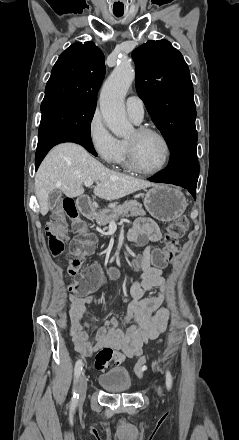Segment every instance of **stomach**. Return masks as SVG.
<instances>
[{
    "instance_id": "stomach-1",
    "label": "stomach",
    "mask_w": 239,
    "mask_h": 440,
    "mask_svg": "<svg viewBox=\"0 0 239 440\" xmlns=\"http://www.w3.org/2000/svg\"><path fill=\"white\" fill-rule=\"evenodd\" d=\"M143 202L147 212L160 222H172L180 218L188 206L180 188H173V186L151 188Z\"/></svg>"
}]
</instances>
